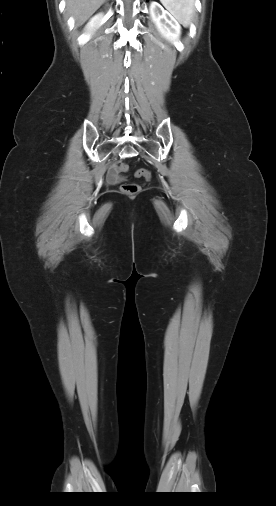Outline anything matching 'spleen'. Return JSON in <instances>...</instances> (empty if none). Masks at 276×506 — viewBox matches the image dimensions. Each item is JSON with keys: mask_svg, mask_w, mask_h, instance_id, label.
<instances>
[{"mask_svg": "<svg viewBox=\"0 0 276 506\" xmlns=\"http://www.w3.org/2000/svg\"><path fill=\"white\" fill-rule=\"evenodd\" d=\"M160 2L184 27L189 26L195 12L194 0H160Z\"/></svg>", "mask_w": 276, "mask_h": 506, "instance_id": "spleen-1", "label": "spleen"}]
</instances>
